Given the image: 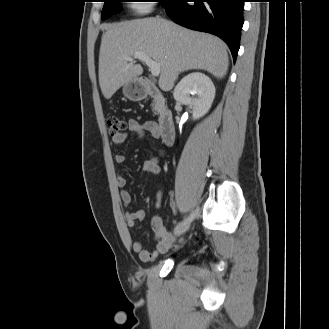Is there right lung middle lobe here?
I'll return each mask as SVG.
<instances>
[{
    "mask_svg": "<svg viewBox=\"0 0 329 329\" xmlns=\"http://www.w3.org/2000/svg\"><path fill=\"white\" fill-rule=\"evenodd\" d=\"M123 0H104L105 4L102 10L101 18L107 19L112 14L117 13L120 10L119 3ZM169 0H160L161 5L163 6Z\"/></svg>",
    "mask_w": 329,
    "mask_h": 329,
    "instance_id": "dd1d6c3e",
    "label": "right lung middle lobe"
}]
</instances>
